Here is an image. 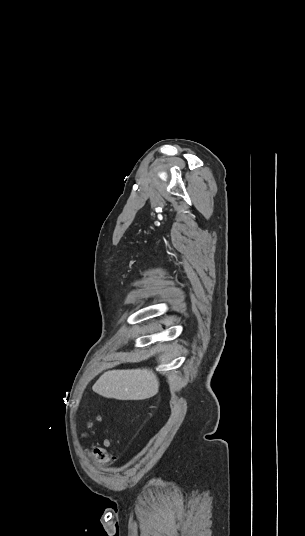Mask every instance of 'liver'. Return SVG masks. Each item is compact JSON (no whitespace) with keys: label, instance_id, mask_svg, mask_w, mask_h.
<instances>
[{"label":"liver","instance_id":"liver-1","mask_svg":"<svg viewBox=\"0 0 305 536\" xmlns=\"http://www.w3.org/2000/svg\"><path fill=\"white\" fill-rule=\"evenodd\" d=\"M92 390L104 398L147 400L158 394L159 382L153 370H112L100 376Z\"/></svg>","mask_w":305,"mask_h":536}]
</instances>
